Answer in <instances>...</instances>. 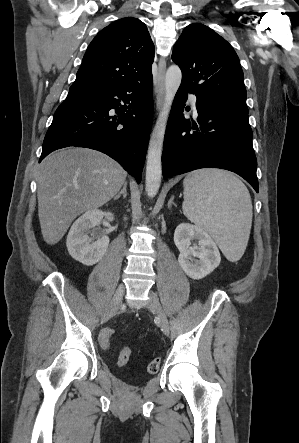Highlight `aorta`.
I'll use <instances>...</instances> for the list:
<instances>
[{
    "instance_id": "obj_1",
    "label": "aorta",
    "mask_w": 299,
    "mask_h": 443,
    "mask_svg": "<svg viewBox=\"0 0 299 443\" xmlns=\"http://www.w3.org/2000/svg\"><path fill=\"white\" fill-rule=\"evenodd\" d=\"M182 74L177 65H171L165 76V99L163 107L159 113L158 119L151 133L146 164V193L148 197L153 198L160 187L162 166L161 156L163 150L164 135L166 125L171 110V105L175 94L181 84Z\"/></svg>"
}]
</instances>
